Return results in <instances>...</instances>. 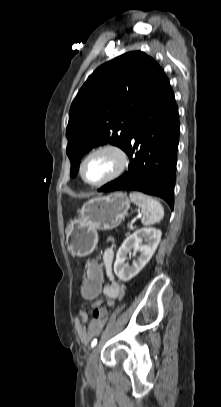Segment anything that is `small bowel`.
Wrapping results in <instances>:
<instances>
[{
  "instance_id": "small-bowel-1",
  "label": "small bowel",
  "mask_w": 221,
  "mask_h": 407,
  "mask_svg": "<svg viewBox=\"0 0 221 407\" xmlns=\"http://www.w3.org/2000/svg\"><path fill=\"white\" fill-rule=\"evenodd\" d=\"M115 253L113 249L108 248L104 251L102 255V272L104 277L108 278V282H104L103 292H98V294H103L105 297L106 304L112 306L115 300H120L123 297V288L120 282L115 278L112 270V264L114 261ZM102 297H95L94 301L91 302L90 307L94 310L96 305H103ZM105 323V318H93L88 323V314L85 310L80 309L78 311V317L75 320V326L78 332L79 339L82 343L87 344L100 330L103 328Z\"/></svg>"
}]
</instances>
